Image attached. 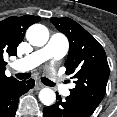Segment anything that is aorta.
<instances>
[{
  "label": "aorta",
  "mask_w": 117,
  "mask_h": 117,
  "mask_svg": "<svg viewBox=\"0 0 117 117\" xmlns=\"http://www.w3.org/2000/svg\"><path fill=\"white\" fill-rule=\"evenodd\" d=\"M26 38L31 45L42 47L49 39V31L44 25L34 24L28 28ZM39 99L44 105L49 106L55 102L56 94L50 88H43L39 92Z\"/></svg>",
  "instance_id": "762f6f07"
}]
</instances>
